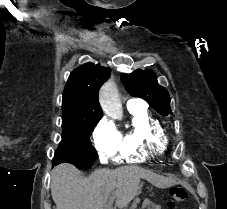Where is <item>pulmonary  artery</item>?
<instances>
[{
    "instance_id": "e3ab8cb5",
    "label": "pulmonary artery",
    "mask_w": 227,
    "mask_h": 209,
    "mask_svg": "<svg viewBox=\"0 0 227 209\" xmlns=\"http://www.w3.org/2000/svg\"><path fill=\"white\" fill-rule=\"evenodd\" d=\"M129 105H149V100H139V95H130Z\"/></svg>"
}]
</instances>
